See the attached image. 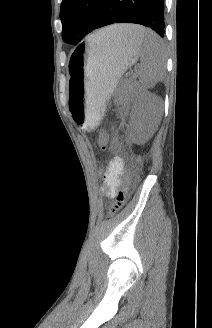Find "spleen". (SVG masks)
<instances>
[{"instance_id": "1", "label": "spleen", "mask_w": 212, "mask_h": 328, "mask_svg": "<svg viewBox=\"0 0 212 328\" xmlns=\"http://www.w3.org/2000/svg\"><path fill=\"white\" fill-rule=\"evenodd\" d=\"M134 37L140 46L141 66L138 74L141 87L152 88L163 79L165 47L156 33L141 26L135 27ZM95 38L96 36L93 35L89 37V41L98 42Z\"/></svg>"}]
</instances>
